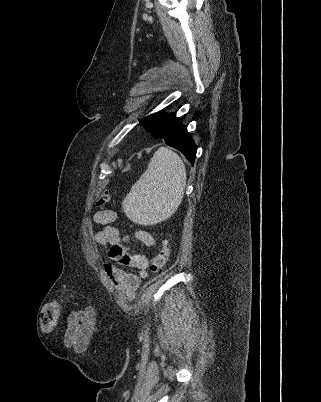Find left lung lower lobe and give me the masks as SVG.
I'll list each match as a JSON object with an SVG mask.
<instances>
[{
	"mask_svg": "<svg viewBox=\"0 0 321 402\" xmlns=\"http://www.w3.org/2000/svg\"><path fill=\"white\" fill-rule=\"evenodd\" d=\"M156 135L163 138L167 145L181 151L189 162L194 164L197 147L175 114L158 115Z\"/></svg>",
	"mask_w": 321,
	"mask_h": 402,
	"instance_id": "obj_1",
	"label": "left lung lower lobe"
}]
</instances>
